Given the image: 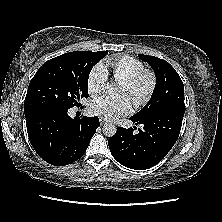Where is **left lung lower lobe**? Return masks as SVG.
Returning a JSON list of instances; mask_svg holds the SVG:
<instances>
[{"instance_id": "0a47b994", "label": "left lung lower lobe", "mask_w": 222, "mask_h": 222, "mask_svg": "<svg viewBox=\"0 0 222 222\" xmlns=\"http://www.w3.org/2000/svg\"><path fill=\"white\" fill-rule=\"evenodd\" d=\"M184 111L168 109L141 119L130 118L143 129L118 127L109 141L113 157L122 165L135 169H149L159 163L178 139ZM137 129V127H134Z\"/></svg>"}]
</instances>
